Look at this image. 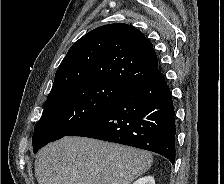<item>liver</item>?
I'll return each mask as SVG.
<instances>
[{
    "instance_id": "obj_1",
    "label": "liver",
    "mask_w": 224,
    "mask_h": 184,
    "mask_svg": "<svg viewBox=\"0 0 224 184\" xmlns=\"http://www.w3.org/2000/svg\"><path fill=\"white\" fill-rule=\"evenodd\" d=\"M151 153L84 137H64L42 148L38 184H130L151 167Z\"/></svg>"
}]
</instances>
